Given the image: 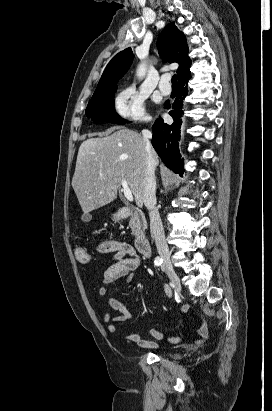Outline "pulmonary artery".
<instances>
[{
    "instance_id": "1",
    "label": "pulmonary artery",
    "mask_w": 272,
    "mask_h": 411,
    "mask_svg": "<svg viewBox=\"0 0 272 411\" xmlns=\"http://www.w3.org/2000/svg\"><path fill=\"white\" fill-rule=\"evenodd\" d=\"M169 74H163L159 83V89L164 95H168L171 92V85L169 84Z\"/></svg>"
}]
</instances>
